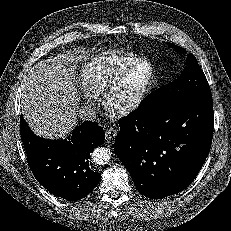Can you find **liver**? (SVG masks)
<instances>
[{"label":"liver","instance_id":"6515ba94","mask_svg":"<svg viewBox=\"0 0 231 231\" xmlns=\"http://www.w3.org/2000/svg\"><path fill=\"white\" fill-rule=\"evenodd\" d=\"M71 55L37 62L24 78L21 109L39 137L64 138L77 125L79 96Z\"/></svg>","mask_w":231,"mask_h":231}]
</instances>
